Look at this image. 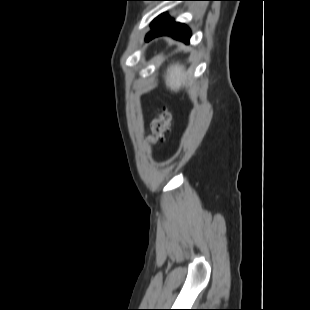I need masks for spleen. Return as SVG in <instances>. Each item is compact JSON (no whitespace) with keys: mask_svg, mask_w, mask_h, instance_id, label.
<instances>
[{"mask_svg":"<svg viewBox=\"0 0 310 310\" xmlns=\"http://www.w3.org/2000/svg\"><path fill=\"white\" fill-rule=\"evenodd\" d=\"M185 78L186 74L183 72L182 68L179 65H173L168 69L166 85L173 89L175 85L183 81Z\"/></svg>","mask_w":310,"mask_h":310,"instance_id":"3e777b00","label":"spleen"}]
</instances>
